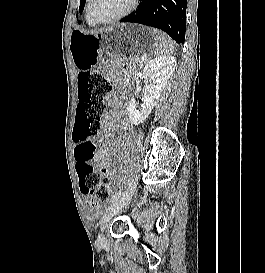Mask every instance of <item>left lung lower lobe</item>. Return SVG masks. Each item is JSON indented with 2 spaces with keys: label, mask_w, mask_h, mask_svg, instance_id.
I'll return each instance as SVG.
<instances>
[{
  "label": "left lung lower lobe",
  "mask_w": 265,
  "mask_h": 273,
  "mask_svg": "<svg viewBox=\"0 0 265 273\" xmlns=\"http://www.w3.org/2000/svg\"><path fill=\"white\" fill-rule=\"evenodd\" d=\"M187 0H142L121 22L140 23L165 31L176 43L185 41Z\"/></svg>",
  "instance_id": "obj_1"
}]
</instances>
